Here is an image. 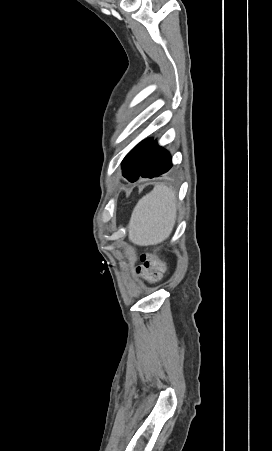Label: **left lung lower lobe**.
I'll return each instance as SVG.
<instances>
[{"instance_id":"obj_1","label":"left lung lower lobe","mask_w":272,"mask_h":451,"mask_svg":"<svg viewBox=\"0 0 272 451\" xmlns=\"http://www.w3.org/2000/svg\"><path fill=\"white\" fill-rule=\"evenodd\" d=\"M171 167H172L171 156L169 152L163 149L162 147L158 146L156 142L152 141L139 175L135 178H127V179L130 182H135L140 177L142 178L157 177L168 172Z\"/></svg>"}]
</instances>
